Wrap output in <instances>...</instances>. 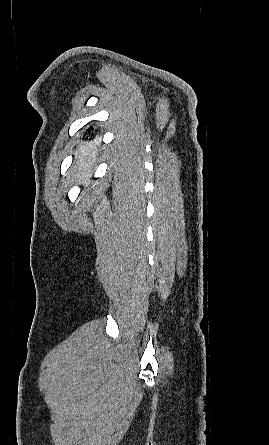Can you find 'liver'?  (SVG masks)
Segmentation results:
<instances>
[{"mask_svg":"<svg viewBox=\"0 0 269 445\" xmlns=\"http://www.w3.org/2000/svg\"><path fill=\"white\" fill-rule=\"evenodd\" d=\"M97 145L95 143H82L78 150V157L71 171V177L78 181L86 180L92 171L96 159Z\"/></svg>","mask_w":269,"mask_h":445,"instance_id":"liver-1","label":"liver"}]
</instances>
